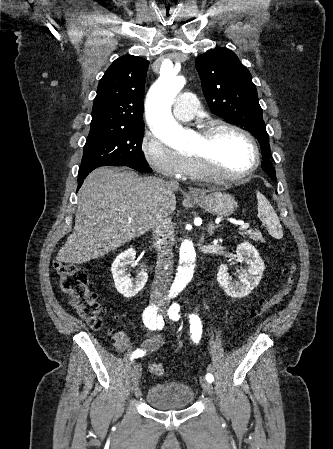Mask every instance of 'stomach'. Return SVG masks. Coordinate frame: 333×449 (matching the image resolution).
<instances>
[{
    "label": "stomach",
    "instance_id": "obj_1",
    "mask_svg": "<svg viewBox=\"0 0 333 449\" xmlns=\"http://www.w3.org/2000/svg\"><path fill=\"white\" fill-rule=\"evenodd\" d=\"M192 200L198 206L218 216H229L236 208L234 197L224 192H213L202 198H192Z\"/></svg>",
    "mask_w": 333,
    "mask_h": 449
}]
</instances>
